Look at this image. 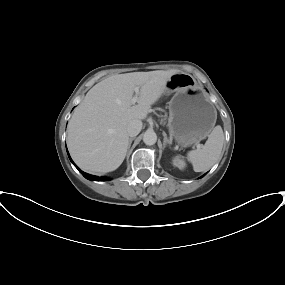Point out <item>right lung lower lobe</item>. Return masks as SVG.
<instances>
[{
    "label": "right lung lower lobe",
    "instance_id": "98d812e1",
    "mask_svg": "<svg viewBox=\"0 0 285 285\" xmlns=\"http://www.w3.org/2000/svg\"><path fill=\"white\" fill-rule=\"evenodd\" d=\"M68 156H69V153H68ZM71 162L75 165V163L72 161L71 157L69 156ZM75 167L80 171V173L87 179L91 180V181H103L105 179V177H98V176H94V175H90V174H87L83 171H81L76 165Z\"/></svg>",
    "mask_w": 285,
    "mask_h": 285
}]
</instances>
